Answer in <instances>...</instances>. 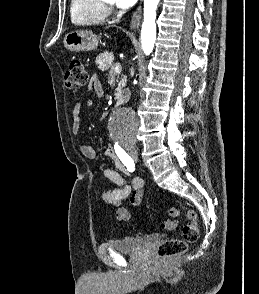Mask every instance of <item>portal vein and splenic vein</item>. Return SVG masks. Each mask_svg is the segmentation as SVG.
<instances>
[{"mask_svg":"<svg viewBox=\"0 0 259 294\" xmlns=\"http://www.w3.org/2000/svg\"><path fill=\"white\" fill-rule=\"evenodd\" d=\"M114 72L119 73L121 72V65L120 64H116L113 68Z\"/></svg>","mask_w":259,"mask_h":294,"instance_id":"portal-vein-and-splenic-vein-1","label":"portal vein and splenic vein"}]
</instances>
